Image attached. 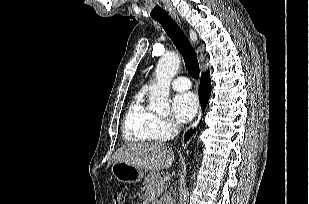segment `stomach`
I'll return each mask as SVG.
<instances>
[{
    "label": "stomach",
    "instance_id": "obj_1",
    "mask_svg": "<svg viewBox=\"0 0 309 204\" xmlns=\"http://www.w3.org/2000/svg\"><path fill=\"white\" fill-rule=\"evenodd\" d=\"M112 176L123 183H137L144 177V172L125 162H114L110 167Z\"/></svg>",
    "mask_w": 309,
    "mask_h": 204
}]
</instances>
